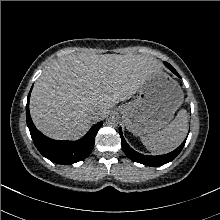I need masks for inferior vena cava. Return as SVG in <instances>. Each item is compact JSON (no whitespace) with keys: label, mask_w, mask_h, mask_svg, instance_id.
<instances>
[{"label":"inferior vena cava","mask_w":220,"mask_h":220,"mask_svg":"<svg viewBox=\"0 0 220 220\" xmlns=\"http://www.w3.org/2000/svg\"><path fill=\"white\" fill-rule=\"evenodd\" d=\"M91 114L94 116L97 114V112L95 110H92Z\"/></svg>","instance_id":"602c4592"}]
</instances>
